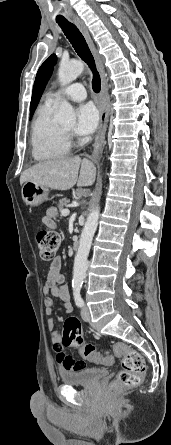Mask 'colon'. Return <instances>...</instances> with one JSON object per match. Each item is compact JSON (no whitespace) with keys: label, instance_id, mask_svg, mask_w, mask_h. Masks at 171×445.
<instances>
[{"label":"colon","instance_id":"5ec220e1","mask_svg":"<svg viewBox=\"0 0 171 445\" xmlns=\"http://www.w3.org/2000/svg\"><path fill=\"white\" fill-rule=\"evenodd\" d=\"M39 255L44 260H51L60 245L59 235L51 230L40 228L35 233ZM81 320L71 316L65 320L62 342L66 346L78 348L82 356L90 361L110 363L114 357H121L122 370L108 387L110 394H118L139 385L146 373V363L142 355L123 343L113 345L111 352L99 353L90 344H84L81 332Z\"/></svg>","mask_w":171,"mask_h":445}]
</instances>
